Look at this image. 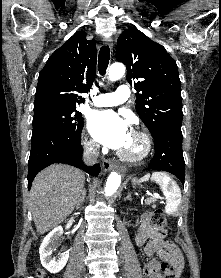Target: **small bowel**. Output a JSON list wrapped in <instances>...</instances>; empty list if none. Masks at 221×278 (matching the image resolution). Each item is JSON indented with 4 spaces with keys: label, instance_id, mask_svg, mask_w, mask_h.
<instances>
[{
    "label": "small bowel",
    "instance_id": "1",
    "mask_svg": "<svg viewBox=\"0 0 221 278\" xmlns=\"http://www.w3.org/2000/svg\"><path fill=\"white\" fill-rule=\"evenodd\" d=\"M165 235V229L151 223L150 215L142 217L135 241L138 246L143 247L145 255L151 257L143 266L144 278H163L160 264L165 261L175 266L177 275L183 269L184 261L180 250L166 241ZM155 254L159 258L153 257Z\"/></svg>",
    "mask_w": 221,
    "mask_h": 278
}]
</instances>
